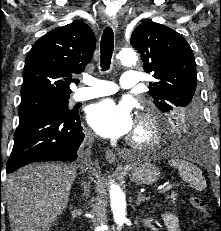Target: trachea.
I'll return each mask as SVG.
<instances>
[{
  "mask_svg": "<svg viewBox=\"0 0 221 231\" xmlns=\"http://www.w3.org/2000/svg\"><path fill=\"white\" fill-rule=\"evenodd\" d=\"M113 51L114 34L111 28H106L103 32L100 44L102 70L107 71L110 68Z\"/></svg>",
  "mask_w": 221,
  "mask_h": 231,
  "instance_id": "trachea-1",
  "label": "trachea"
}]
</instances>
